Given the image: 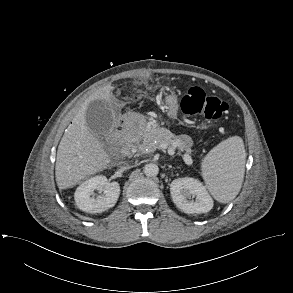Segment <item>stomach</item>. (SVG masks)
Segmentation results:
<instances>
[{
  "label": "stomach",
  "mask_w": 293,
  "mask_h": 293,
  "mask_svg": "<svg viewBox=\"0 0 293 293\" xmlns=\"http://www.w3.org/2000/svg\"><path fill=\"white\" fill-rule=\"evenodd\" d=\"M165 108L167 111V115L170 118L177 117V110H178V98L175 94H167L165 96Z\"/></svg>",
  "instance_id": "obj_1"
}]
</instances>
